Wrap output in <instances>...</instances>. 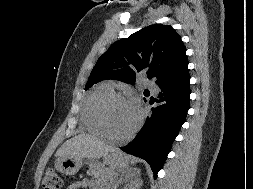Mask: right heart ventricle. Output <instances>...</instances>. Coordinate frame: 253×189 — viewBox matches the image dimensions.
Masks as SVG:
<instances>
[{
    "label": "right heart ventricle",
    "mask_w": 253,
    "mask_h": 189,
    "mask_svg": "<svg viewBox=\"0 0 253 189\" xmlns=\"http://www.w3.org/2000/svg\"><path fill=\"white\" fill-rule=\"evenodd\" d=\"M113 93L114 91L109 84H101L85 99L81 110V122L84 128L90 133L103 135L97 120L96 109L103 98Z\"/></svg>",
    "instance_id": "1"
}]
</instances>
